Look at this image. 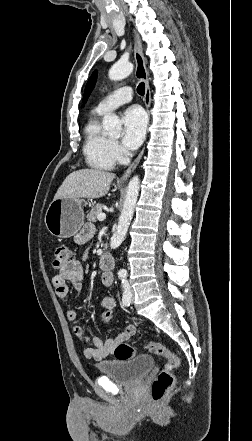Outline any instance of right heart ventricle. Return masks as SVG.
I'll list each match as a JSON object with an SVG mask.
<instances>
[{
    "label": "right heart ventricle",
    "instance_id": "1",
    "mask_svg": "<svg viewBox=\"0 0 252 441\" xmlns=\"http://www.w3.org/2000/svg\"><path fill=\"white\" fill-rule=\"evenodd\" d=\"M103 113L95 110L84 127L83 154L93 169L112 170L116 159L112 153L111 139L101 128L100 119Z\"/></svg>",
    "mask_w": 252,
    "mask_h": 441
}]
</instances>
